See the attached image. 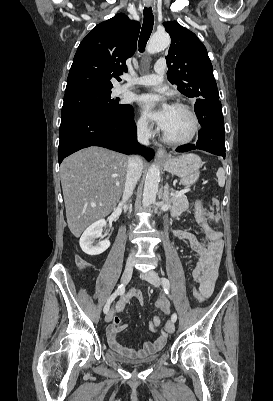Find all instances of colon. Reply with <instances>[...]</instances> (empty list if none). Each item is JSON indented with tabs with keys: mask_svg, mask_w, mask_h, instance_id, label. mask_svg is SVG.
<instances>
[{
	"mask_svg": "<svg viewBox=\"0 0 273 401\" xmlns=\"http://www.w3.org/2000/svg\"><path fill=\"white\" fill-rule=\"evenodd\" d=\"M217 203H218V200L216 198H213L212 199L213 208L216 207ZM79 264H80V268H85V259H79ZM87 268H92V263H87ZM197 279H199L200 281H203L205 279V276L203 274H200L199 276H197ZM145 296H146V293L144 291H141L139 294L136 295V300L138 302L139 307L145 306V301H146L144 298Z\"/></svg>",
	"mask_w": 273,
	"mask_h": 401,
	"instance_id": "obj_1",
	"label": "colon"
}]
</instances>
